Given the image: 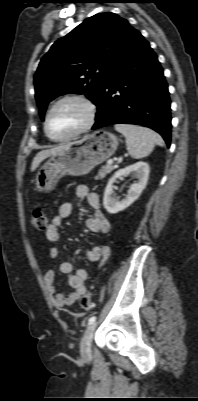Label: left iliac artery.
<instances>
[{"label": "left iliac artery", "instance_id": "44dca946", "mask_svg": "<svg viewBox=\"0 0 198 401\" xmlns=\"http://www.w3.org/2000/svg\"><path fill=\"white\" fill-rule=\"evenodd\" d=\"M95 320H96L95 316L90 317L89 320H88V324L90 325V324L94 323Z\"/></svg>", "mask_w": 198, "mask_h": 401}]
</instances>
